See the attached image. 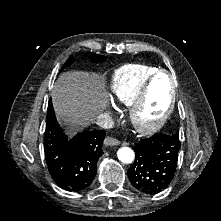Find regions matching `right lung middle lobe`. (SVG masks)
<instances>
[{
  "mask_svg": "<svg viewBox=\"0 0 221 221\" xmlns=\"http://www.w3.org/2000/svg\"><path fill=\"white\" fill-rule=\"evenodd\" d=\"M91 59H92V61L93 62H100V61H102V60H105L106 59V57L105 56H102V55H95V54H91ZM72 61H73V56H71L68 60H67V62L64 64V66L61 68V70H63L65 67H67L68 65H70L71 63H72ZM60 70V71H61Z\"/></svg>",
  "mask_w": 221,
  "mask_h": 221,
  "instance_id": "dd1d6c3e",
  "label": "right lung middle lobe"
}]
</instances>
